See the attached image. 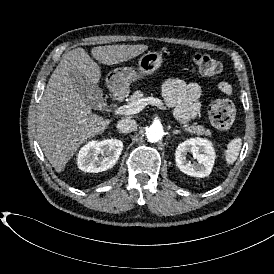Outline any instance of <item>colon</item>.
Instances as JSON below:
<instances>
[{
    "mask_svg": "<svg viewBox=\"0 0 274 274\" xmlns=\"http://www.w3.org/2000/svg\"><path fill=\"white\" fill-rule=\"evenodd\" d=\"M193 62L202 75L215 77L221 74L222 65L219 60L206 53H197ZM236 107L228 99L216 100L208 111V117L213 127L220 131L231 129L236 120Z\"/></svg>",
    "mask_w": 274,
    "mask_h": 274,
    "instance_id": "colon-1",
    "label": "colon"
}]
</instances>
